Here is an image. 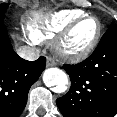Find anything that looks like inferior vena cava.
<instances>
[{"mask_svg": "<svg viewBox=\"0 0 117 117\" xmlns=\"http://www.w3.org/2000/svg\"><path fill=\"white\" fill-rule=\"evenodd\" d=\"M17 54L20 57H22V58H24L26 60H30V61L36 60L40 56V52H39L38 49L31 48V47H28V46L19 47L17 49Z\"/></svg>", "mask_w": 117, "mask_h": 117, "instance_id": "inferior-vena-cava-1", "label": "inferior vena cava"}]
</instances>
